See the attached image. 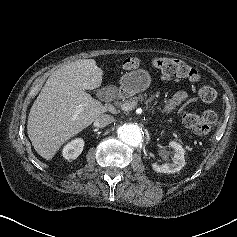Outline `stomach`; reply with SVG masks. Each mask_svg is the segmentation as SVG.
Returning a JSON list of instances; mask_svg holds the SVG:
<instances>
[{"label": "stomach", "instance_id": "1", "mask_svg": "<svg viewBox=\"0 0 237 237\" xmlns=\"http://www.w3.org/2000/svg\"><path fill=\"white\" fill-rule=\"evenodd\" d=\"M150 75L143 69L133 70L120 79V88L126 97L146 90L150 85Z\"/></svg>", "mask_w": 237, "mask_h": 237}]
</instances>
